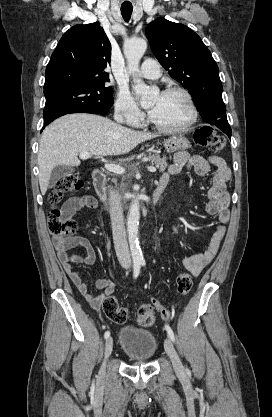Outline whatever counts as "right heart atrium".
<instances>
[{
    "instance_id": "obj_1",
    "label": "right heart atrium",
    "mask_w": 272,
    "mask_h": 417,
    "mask_svg": "<svg viewBox=\"0 0 272 417\" xmlns=\"http://www.w3.org/2000/svg\"><path fill=\"white\" fill-rule=\"evenodd\" d=\"M116 116L129 125H138L144 118L131 94L126 90H120L114 104Z\"/></svg>"
}]
</instances>
